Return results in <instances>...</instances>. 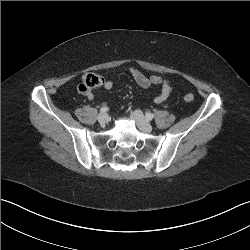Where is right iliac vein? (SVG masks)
I'll list each match as a JSON object with an SVG mask.
<instances>
[{
    "instance_id": "obj_1",
    "label": "right iliac vein",
    "mask_w": 250,
    "mask_h": 250,
    "mask_svg": "<svg viewBox=\"0 0 250 250\" xmlns=\"http://www.w3.org/2000/svg\"><path fill=\"white\" fill-rule=\"evenodd\" d=\"M100 124H105L108 120V115L106 113H100L97 117Z\"/></svg>"
}]
</instances>
